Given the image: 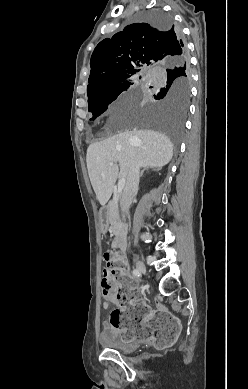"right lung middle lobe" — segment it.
Masks as SVG:
<instances>
[{"instance_id": "obj_1", "label": "right lung middle lobe", "mask_w": 248, "mask_h": 389, "mask_svg": "<svg viewBox=\"0 0 248 389\" xmlns=\"http://www.w3.org/2000/svg\"><path fill=\"white\" fill-rule=\"evenodd\" d=\"M140 18L159 29L174 26L171 16L162 10L144 12ZM155 78L157 88L154 98L159 102L152 108L133 105L128 109L131 118L139 124L163 131L177 147L183 122L188 111L190 100L191 73L188 62L182 59H172L157 67ZM117 78L109 86L100 88L88 96V111L92 112L94 120L107 110L108 104L126 92L133 85L132 75ZM152 88V87H150Z\"/></svg>"}]
</instances>
